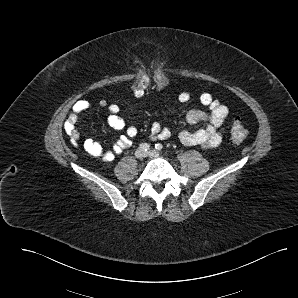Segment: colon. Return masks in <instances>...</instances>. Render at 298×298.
Wrapping results in <instances>:
<instances>
[{
	"instance_id": "colon-1",
	"label": "colon",
	"mask_w": 298,
	"mask_h": 298,
	"mask_svg": "<svg viewBox=\"0 0 298 298\" xmlns=\"http://www.w3.org/2000/svg\"><path fill=\"white\" fill-rule=\"evenodd\" d=\"M153 80L158 88H164L168 84L167 74L161 70H155L153 72ZM151 78L148 71L141 70L137 74L134 83L132 85V90L134 94L138 97L143 96L150 85ZM65 130L70 135L73 142H76V138L73 134L77 131L76 123L67 120L65 123ZM246 127L238 120L234 121L230 126V140L234 144L241 143L247 137Z\"/></svg>"
}]
</instances>
